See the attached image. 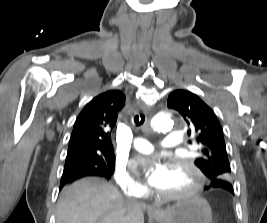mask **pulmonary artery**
<instances>
[{
  "label": "pulmonary artery",
  "mask_w": 267,
  "mask_h": 223,
  "mask_svg": "<svg viewBox=\"0 0 267 223\" xmlns=\"http://www.w3.org/2000/svg\"><path fill=\"white\" fill-rule=\"evenodd\" d=\"M182 135L177 133H169L166 134L164 137V140L162 142V145L168 148L177 147L181 145L182 143ZM133 147L142 153H149L152 152L154 149V146L151 142L145 139H134L133 140Z\"/></svg>",
  "instance_id": "1"
}]
</instances>
